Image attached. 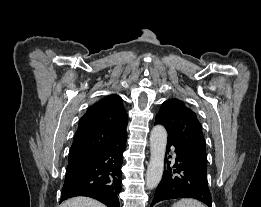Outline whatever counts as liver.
<instances>
[{
	"label": "liver",
	"mask_w": 261,
	"mask_h": 207,
	"mask_svg": "<svg viewBox=\"0 0 261 207\" xmlns=\"http://www.w3.org/2000/svg\"><path fill=\"white\" fill-rule=\"evenodd\" d=\"M60 207H106V206L92 198L74 197L63 202Z\"/></svg>",
	"instance_id": "liver-1"
}]
</instances>
